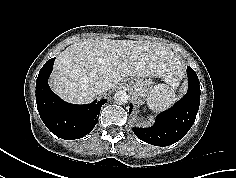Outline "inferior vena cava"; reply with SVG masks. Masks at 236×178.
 Here are the masks:
<instances>
[{
    "label": "inferior vena cava",
    "instance_id": "1",
    "mask_svg": "<svg viewBox=\"0 0 236 178\" xmlns=\"http://www.w3.org/2000/svg\"><path fill=\"white\" fill-rule=\"evenodd\" d=\"M108 90V84L107 82L103 81V80H100V81H97L96 83V91L98 94H101L105 91Z\"/></svg>",
    "mask_w": 236,
    "mask_h": 178
}]
</instances>
